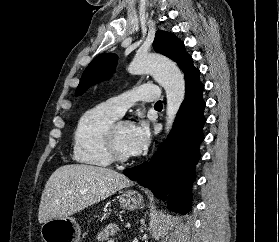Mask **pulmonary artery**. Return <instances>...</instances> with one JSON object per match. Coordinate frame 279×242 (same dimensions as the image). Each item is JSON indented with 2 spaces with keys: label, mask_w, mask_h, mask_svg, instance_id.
Wrapping results in <instances>:
<instances>
[{
  "label": "pulmonary artery",
  "mask_w": 279,
  "mask_h": 242,
  "mask_svg": "<svg viewBox=\"0 0 279 242\" xmlns=\"http://www.w3.org/2000/svg\"><path fill=\"white\" fill-rule=\"evenodd\" d=\"M160 92L156 85H141L131 91L114 96L105 105L117 116L121 117L127 108L137 101L153 102L159 99Z\"/></svg>",
  "instance_id": "e3ab8cb5"
}]
</instances>
